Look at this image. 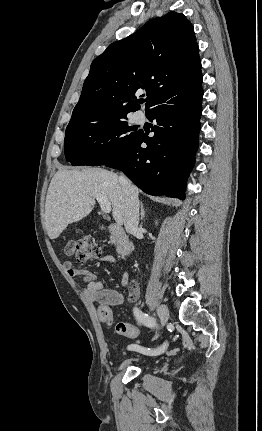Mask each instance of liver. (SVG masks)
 I'll return each mask as SVG.
<instances>
[{"instance_id": "liver-1", "label": "liver", "mask_w": 262, "mask_h": 431, "mask_svg": "<svg viewBox=\"0 0 262 431\" xmlns=\"http://www.w3.org/2000/svg\"><path fill=\"white\" fill-rule=\"evenodd\" d=\"M131 187L138 196V188L132 184ZM97 195L107 198L112 205L113 218L122 224L125 191L117 174L89 167L57 171L49 185L45 204V228L49 238L56 239L69 224L89 215Z\"/></svg>"}]
</instances>
